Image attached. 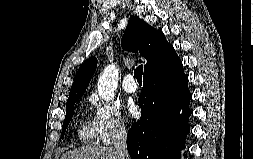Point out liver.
Masks as SVG:
<instances>
[{
    "instance_id": "1",
    "label": "liver",
    "mask_w": 253,
    "mask_h": 159,
    "mask_svg": "<svg viewBox=\"0 0 253 159\" xmlns=\"http://www.w3.org/2000/svg\"><path fill=\"white\" fill-rule=\"evenodd\" d=\"M61 159H119L113 148L84 146L65 153Z\"/></svg>"
}]
</instances>
